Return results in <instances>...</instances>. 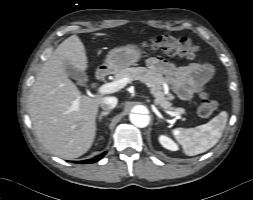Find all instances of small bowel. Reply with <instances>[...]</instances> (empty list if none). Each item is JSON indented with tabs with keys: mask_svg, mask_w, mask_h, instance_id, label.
<instances>
[{
	"mask_svg": "<svg viewBox=\"0 0 253 200\" xmlns=\"http://www.w3.org/2000/svg\"><path fill=\"white\" fill-rule=\"evenodd\" d=\"M147 66L171 77L179 96L185 100L203 90L213 73L212 66L208 63L194 62L176 70L169 62L156 57L149 58Z\"/></svg>",
	"mask_w": 253,
	"mask_h": 200,
	"instance_id": "small-bowel-1",
	"label": "small bowel"
}]
</instances>
